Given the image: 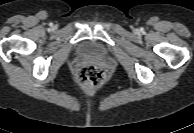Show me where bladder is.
Returning a JSON list of instances; mask_svg holds the SVG:
<instances>
[{
  "label": "bladder",
  "instance_id": "obj_1",
  "mask_svg": "<svg viewBox=\"0 0 194 133\" xmlns=\"http://www.w3.org/2000/svg\"><path fill=\"white\" fill-rule=\"evenodd\" d=\"M77 52L89 57H103L106 54L105 46L96 40H84L78 44Z\"/></svg>",
  "mask_w": 194,
  "mask_h": 133
}]
</instances>
